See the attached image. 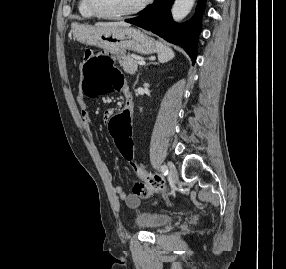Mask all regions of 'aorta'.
<instances>
[{"instance_id":"obj_1","label":"aorta","mask_w":286,"mask_h":269,"mask_svg":"<svg viewBox=\"0 0 286 269\" xmlns=\"http://www.w3.org/2000/svg\"><path fill=\"white\" fill-rule=\"evenodd\" d=\"M195 0H175L172 7V17L174 21L183 20L191 11Z\"/></svg>"}]
</instances>
